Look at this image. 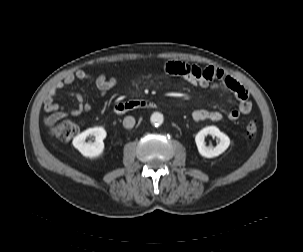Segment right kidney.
I'll use <instances>...</instances> for the list:
<instances>
[{
	"label": "right kidney",
	"instance_id": "1",
	"mask_svg": "<svg viewBox=\"0 0 303 252\" xmlns=\"http://www.w3.org/2000/svg\"><path fill=\"white\" fill-rule=\"evenodd\" d=\"M88 136H95V142H85ZM107 133L103 127H94L85 130L73 139V146L79 150V152L89 158H95L100 156L104 151V142Z\"/></svg>",
	"mask_w": 303,
	"mask_h": 252
}]
</instances>
